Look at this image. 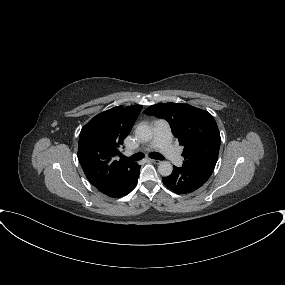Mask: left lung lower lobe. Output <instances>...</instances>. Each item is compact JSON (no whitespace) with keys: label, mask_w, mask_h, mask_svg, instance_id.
Here are the masks:
<instances>
[{"label":"left lung lower lobe","mask_w":285,"mask_h":285,"mask_svg":"<svg viewBox=\"0 0 285 285\" xmlns=\"http://www.w3.org/2000/svg\"><path fill=\"white\" fill-rule=\"evenodd\" d=\"M215 166H173V172L162 181L166 187L175 193L187 194L200 188L211 176Z\"/></svg>","instance_id":"obj_1"}]
</instances>
